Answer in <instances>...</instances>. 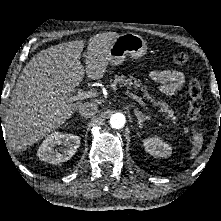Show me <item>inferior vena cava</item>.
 I'll return each mask as SVG.
<instances>
[{"instance_id": "inferior-vena-cava-1", "label": "inferior vena cava", "mask_w": 221, "mask_h": 221, "mask_svg": "<svg viewBox=\"0 0 221 221\" xmlns=\"http://www.w3.org/2000/svg\"><path fill=\"white\" fill-rule=\"evenodd\" d=\"M79 114L84 118H91L98 111V105L94 102H86L79 107Z\"/></svg>"}]
</instances>
